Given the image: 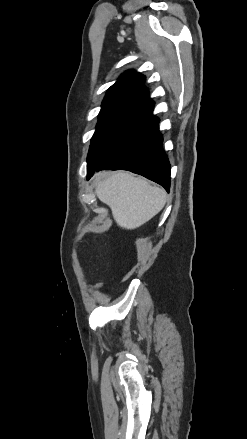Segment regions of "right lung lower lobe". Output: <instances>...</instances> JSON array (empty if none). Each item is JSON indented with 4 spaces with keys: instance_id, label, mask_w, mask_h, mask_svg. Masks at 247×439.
<instances>
[{
    "instance_id": "obj_1",
    "label": "right lung lower lobe",
    "mask_w": 247,
    "mask_h": 439,
    "mask_svg": "<svg viewBox=\"0 0 247 439\" xmlns=\"http://www.w3.org/2000/svg\"><path fill=\"white\" fill-rule=\"evenodd\" d=\"M159 119L154 117L144 128L104 157L97 165L87 166L88 179L102 169L129 170L170 188V164L162 148Z\"/></svg>"
}]
</instances>
